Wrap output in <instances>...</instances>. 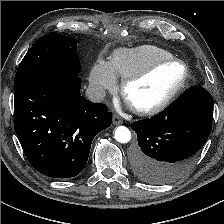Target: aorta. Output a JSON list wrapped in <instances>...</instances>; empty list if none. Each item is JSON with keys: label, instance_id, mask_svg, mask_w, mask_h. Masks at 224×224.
Returning <instances> with one entry per match:
<instances>
[{"label": "aorta", "instance_id": "762f6f07", "mask_svg": "<svg viewBox=\"0 0 224 224\" xmlns=\"http://www.w3.org/2000/svg\"><path fill=\"white\" fill-rule=\"evenodd\" d=\"M115 139L120 143H128L131 139V132L125 126H119L115 129Z\"/></svg>", "mask_w": 224, "mask_h": 224}]
</instances>
